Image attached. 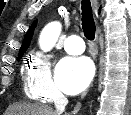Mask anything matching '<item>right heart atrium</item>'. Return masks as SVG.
Masks as SVG:
<instances>
[{
    "label": "right heart atrium",
    "mask_w": 131,
    "mask_h": 115,
    "mask_svg": "<svg viewBox=\"0 0 131 115\" xmlns=\"http://www.w3.org/2000/svg\"><path fill=\"white\" fill-rule=\"evenodd\" d=\"M23 80L25 93L34 100L52 103L63 96L52 79V62L42 52L29 56Z\"/></svg>",
    "instance_id": "1"
}]
</instances>
